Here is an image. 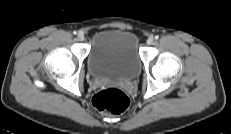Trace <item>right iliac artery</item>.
<instances>
[{
    "label": "right iliac artery",
    "instance_id": "82829eb1",
    "mask_svg": "<svg viewBox=\"0 0 231 134\" xmlns=\"http://www.w3.org/2000/svg\"><path fill=\"white\" fill-rule=\"evenodd\" d=\"M73 34L76 35V34H77V31H74Z\"/></svg>",
    "mask_w": 231,
    "mask_h": 134
}]
</instances>
